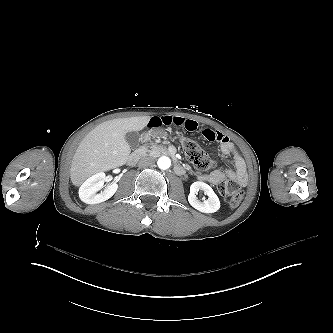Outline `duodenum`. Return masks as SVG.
I'll use <instances>...</instances> for the list:
<instances>
[{
  "mask_svg": "<svg viewBox=\"0 0 333 333\" xmlns=\"http://www.w3.org/2000/svg\"><path fill=\"white\" fill-rule=\"evenodd\" d=\"M148 138H149V133L146 132V133H144V135L142 137V141L145 142ZM142 153H143V151L141 149L132 152L128 157V160H127L128 164L131 166L137 164ZM174 168L178 174H183L185 172L184 166L179 163L175 164Z\"/></svg>",
  "mask_w": 333,
  "mask_h": 333,
  "instance_id": "obj_1",
  "label": "duodenum"
}]
</instances>
